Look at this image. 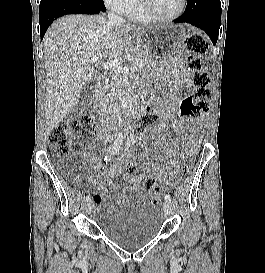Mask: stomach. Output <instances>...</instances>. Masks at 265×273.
<instances>
[{"mask_svg": "<svg viewBox=\"0 0 265 273\" xmlns=\"http://www.w3.org/2000/svg\"><path fill=\"white\" fill-rule=\"evenodd\" d=\"M190 25H156L144 29L138 35L137 44H128V49H143L141 55H136V60L142 64V69H161V64H173L171 56H176L178 40L182 35H187Z\"/></svg>", "mask_w": 265, "mask_h": 273, "instance_id": "0dacf381", "label": "stomach"}]
</instances>
